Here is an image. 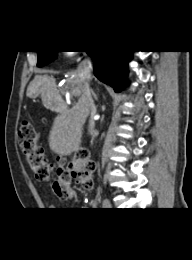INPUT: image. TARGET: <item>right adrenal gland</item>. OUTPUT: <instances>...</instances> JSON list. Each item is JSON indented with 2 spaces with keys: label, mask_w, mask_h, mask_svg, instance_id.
<instances>
[{
  "label": "right adrenal gland",
  "mask_w": 192,
  "mask_h": 260,
  "mask_svg": "<svg viewBox=\"0 0 192 260\" xmlns=\"http://www.w3.org/2000/svg\"><path fill=\"white\" fill-rule=\"evenodd\" d=\"M92 95L94 96L95 100H98V97L96 95V93L92 90Z\"/></svg>",
  "instance_id": "1"
}]
</instances>
